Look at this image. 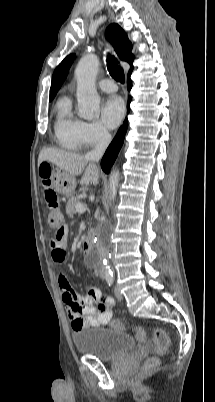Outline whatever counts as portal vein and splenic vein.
Returning a JSON list of instances; mask_svg holds the SVG:
<instances>
[{
  "label": "portal vein and splenic vein",
  "instance_id": "18ae733b",
  "mask_svg": "<svg viewBox=\"0 0 215 402\" xmlns=\"http://www.w3.org/2000/svg\"><path fill=\"white\" fill-rule=\"evenodd\" d=\"M86 209H87V207L86 206H84L83 204H81V203H78L77 205H76V211L78 212V213H84L85 211H86Z\"/></svg>",
  "mask_w": 215,
  "mask_h": 402
}]
</instances>
